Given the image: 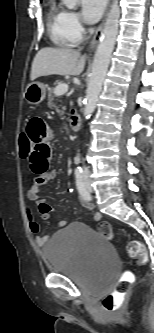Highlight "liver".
Masks as SVG:
<instances>
[{"label":"liver","mask_w":154,"mask_h":333,"mask_svg":"<svg viewBox=\"0 0 154 333\" xmlns=\"http://www.w3.org/2000/svg\"><path fill=\"white\" fill-rule=\"evenodd\" d=\"M86 56L79 51L61 47L42 48L34 57L30 79L34 81L41 76L79 75L85 67Z\"/></svg>","instance_id":"obj_1"}]
</instances>
